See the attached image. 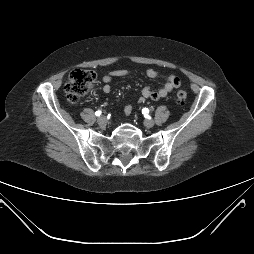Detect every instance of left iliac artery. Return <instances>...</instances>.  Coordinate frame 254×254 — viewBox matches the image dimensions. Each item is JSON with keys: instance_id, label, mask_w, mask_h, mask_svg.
Listing matches in <instances>:
<instances>
[{"instance_id": "obj_1", "label": "left iliac artery", "mask_w": 254, "mask_h": 254, "mask_svg": "<svg viewBox=\"0 0 254 254\" xmlns=\"http://www.w3.org/2000/svg\"><path fill=\"white\" fill-rule=\"evenodd\" d=\"M142 113L147 117V116H148V113H149L148 108H143V109H142ZM147 118L150 119V117H147Z\"/></svg>"}]
</instances>
